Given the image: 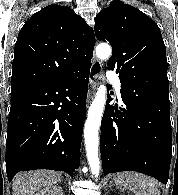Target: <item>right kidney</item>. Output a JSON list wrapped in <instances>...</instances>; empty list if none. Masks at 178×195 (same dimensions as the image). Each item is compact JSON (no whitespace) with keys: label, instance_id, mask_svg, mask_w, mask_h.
Segmentation results:
<instances>
[{"label":"right kidney","instance_id":"ca27d5eb","mask_svg":"<svg viewBox=\"0 0 178 195\" xmlns=\"http://www.w3.org/2000/svg\"><path fill=\"white\" fill-rule=\"evenodd\" d=\"M35 195H63V191L58 186H50L41 189Z\"/></svg>","mask_w":178,"mask_h":195}]
</instances>
